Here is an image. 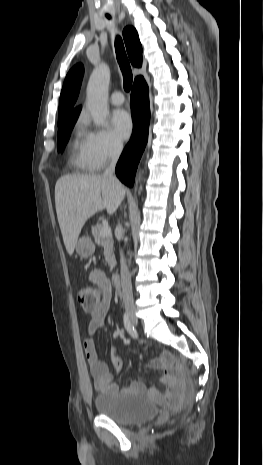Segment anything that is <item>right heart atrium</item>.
<instances>
[{"mask_svg":"<svg viewBox=\"0 0 263 465\" xmlns=\"http://www.w3.org/2000/svg\"><path fill=\"white\" fill-rule=\"evenodd\" d=\"M86 153L95 169L102 168L115 158L122 149V143L106 129H91L85 134Z\"/></svg>","mask_w":263,"mask_h":465,"instance_id":"d8ad5b80","label":"right heart atrium"}]
</instances>
